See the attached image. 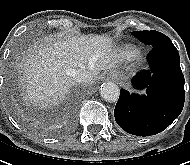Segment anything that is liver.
Wrapping results in <instances>:
<instances>
[{"mask_svg": "<svg viewBox=\"0 0 190 165\" xmlns=\"http://www.w3.org/2000/svg\"><path fill=\"white\" fill-rule=\"evenodd\" d=\"M112 47L108 35L56 34L40 40L20 65L26 100L57 105L75 83L72 70L86 69L95 78L101 70L116 67Z\"/></svg>", "mask_w": 190, "mask_h": 165, "instance_id": "liver-1", "label": "liver"}]
</instances>
